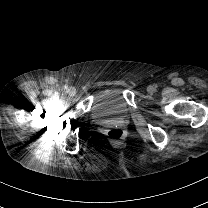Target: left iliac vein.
Returning <instances> with one entry per match:
<instances>
[{
  "instance_id": "4c4485c4",
  "label": "left iliac vein",
  "mask_w": 208,
  "mask_h": 208,
  "mask_svg": "<svg viewBox=\"0 0 208 208\" xmlns=\"http://www.w3.org/2000/svg\"><path fill=\"white\" fill-rule=\"evenodd\" d=\"M147 91H148L149 93H153V92L155 91V88H154L153 86H149V87L147 88Z\"/></svg>"
}]
</instances>
